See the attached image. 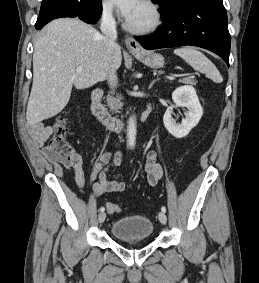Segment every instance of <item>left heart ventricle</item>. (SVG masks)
<instances>
[{
    "instance_id": "left-heart-ventricle-1",
    "label": "left heart ventricle",
    "mask_w": 259,
    "mask_h": 283,
    "mask_svg": "<svg viewBox=\"0 0 259 283\" xmlns=\"http://www.w3.org/2000/svg\"><path fill=\"white\" fill-rule=\"evenodd\" d=\"M128 21L137 27L145 26L151 21V12L144 3H141L137 11Z\"/></svg>"
}]
</instances>
